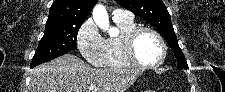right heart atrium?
Here are the masks:
<instances>
[{
  "label": "right heart atrium",
  "mask_w": 225,
  "mask_h": 92,
  "mask_svg": "<svg viewBox=\"0 0 225 92\" xmlns=\"http://www.w3.org/2000/svg\"><path fill=\"white\" fill-rule=\"evenodd\" d=\"M76 43L87 63L95 67L106 65L105 39L93 19H87L80 26L76 36Z\"/></svg>",
  "instance_id": "right-heart-atrium-1"
}]
</instances>
